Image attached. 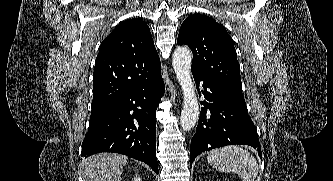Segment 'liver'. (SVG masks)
Returning a JSON list of instances; mask_svg holds the SVG:
<instances>
[{
	"label": "liver",
	"instance_id": "1",
	"mask_svg": "<svg viewBox=\"0 0 333 181\" xmlns=\"http://www.w3.org/2000/svg\"><path fill=\"white\" fill-rule=\"evenodd\" d=\"M128 158L116 153H97L82 162L84 181H121Z\"/></svg>",
	"mask_w": 333,
	"mask_h": 181
}]
</instances>
